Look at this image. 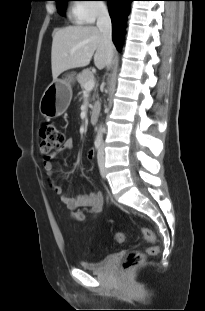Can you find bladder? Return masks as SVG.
Instances as JSON below:
<instances>
[{
    "instance_id": "1",
    "label": "bladder",
    "mask_w": 205,
    "mask_h": 311,
    "mask_svg": "<svg viewBox=\"0 0 205 311\" xmlns=\"http://www.w3.org/2000/svg\"><path fill=\"white\" fill-rule=\"evenodd\" d=\"M114 258L113 255L106 256L105 258L98 260V261H81L79 262V266L82 269L88 270V271H103L107 267V265L112 261Z\"/></svg>"
}]
</instances>
